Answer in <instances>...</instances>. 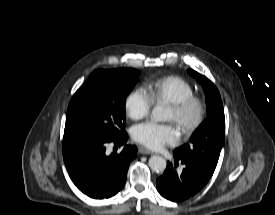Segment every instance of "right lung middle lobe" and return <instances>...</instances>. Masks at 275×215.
Here are the masks:
<instances>
[{"label": "right lung middle lobe", "instance_id": "1", "mask_svg": "<svg viewBox=\"0 0 275 215\" xmlns=\"http://www.w3.org/2000/svg\"><path fill=\"white\" fill-rule=\"evenodd\" d=\"M139 75L131 68L94 71L69 103L63 140H111L123 135L125 98Z\"/></svg>", "mask_w": 275, "mask_h": 215}]
</instances>
